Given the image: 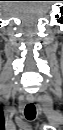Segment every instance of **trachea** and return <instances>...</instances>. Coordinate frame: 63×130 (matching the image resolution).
<instances>
[{"label":"trachea","mask_w":63,"mask_h":130,"mask_svg":"<svg viewBox=\"0 0 63 130\" xmlns=\"http://www.w3.org/2000/svg\"><path fill=\"white\" fill-rule=\"evenodd\" d=\"M24 114L27 120L32 121L36 116V109L33 103H29L26 105Z\"/></svg>","instance_id":"3493384b"}]
</instances>
